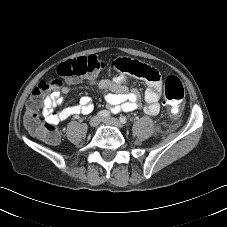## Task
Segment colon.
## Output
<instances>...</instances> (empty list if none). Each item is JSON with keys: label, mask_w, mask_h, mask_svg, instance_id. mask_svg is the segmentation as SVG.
I'll return each mask as SVG.
<instances>
[{"label": "colon", "mask_w": 227, "mask_h": 227, "mask_svg": "<svg viewBox=\"0 0 227 227\" xmlns=\"http://www.w3.org/2000/svg\"><path fill=\"white\" fill-rule=\"evenodd\" d=\"M105 67L104 62L96 55L67 60L59 67V75L71 80H78L85 76H92L101 72ZM131 74L149 80L158 78L157 71L148 64L131 60L127 67ZM62 84L59 78H49L41 81L33 90L26 106L25 125L27 129L45 143L55 145L59 142V132L54 125L42 123L38 117V108L44 102L45 94L49 90L58 89ZM184 87L181 80L174 74L165 79V103L172 110L178 111L184 99Z\"/></svg>", "instance_id": "5ec220e1"}]
</instances>
